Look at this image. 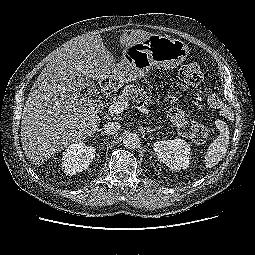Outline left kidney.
Returning <instances> with one entry per match:
<instances>
[{
	"mask_svg": "<svg viewBox=\"0 0 255 255\" xmlns=\"http://www.w3.org/2000/svg\"><path fill=\"white\" fill-rule=\"evenodd\" d=\"M153 149L158 159L171 170L189 167L190 146L183 139L160 140L154 143Z\"/></svg>",
	"mask_w": 255,
	"mask_h": 255,
	"instance_id": "left-kidney-1",
	"label": "left kidney"
}]
</instances>
